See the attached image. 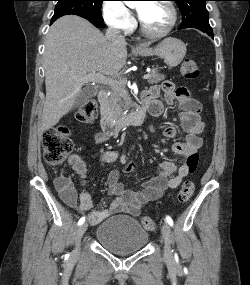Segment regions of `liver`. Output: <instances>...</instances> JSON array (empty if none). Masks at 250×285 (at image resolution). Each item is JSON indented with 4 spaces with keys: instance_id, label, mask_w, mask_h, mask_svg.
Wrapping results in <instances>:
<instances>
[{
    "instance_id": "liver-1",
    "label": "liver",
    "mask_w": 250,
    "mask_h": 285,
    "mask_svg": "<svg viewBox=\"0 0 250 285\" xmlns=\"http://www.w3.org/2000/svg\"><path fill=\"white\" fill-rule=\"evenodd\" d=\"M126 45L104 37L90 22L75 15L63 16L53 23L45 41L42 132L56 125L71 109L85 77L95 73L111 76L123 68Z\"/></svg>"
}]
</instances>
